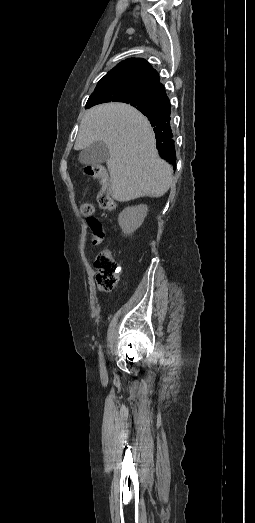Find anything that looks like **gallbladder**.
<instances>
[{
	"label": "gallbladder",
	"instance_id": "gallbladder-1",
	"mask_svg": "<svg viewBox=\"0 0 255 523\" xmlns=\"http://www.w3.org/2000/svg\"><path fill=\"white\" fill-rule=\"evenodd\" d=\"M110 154L105 142H93L90 146H86L79 154L80 164H87V166H101L106 160H109Z\"/></svg>",
	"mask_w": 255,
	"mask_h": 523
}]
</instances>
